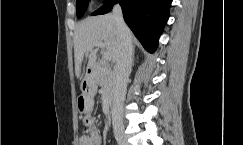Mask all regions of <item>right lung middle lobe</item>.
<instances>
[{
  "label": "right lung middle lobe",
  "mask_w": 243,
  "mask_h": 145,
  "mask_svg": "<svg viewBox=\"0 0 243 145\" xmlns=\"http://www.w3.org/2000/svg\"><path fill=\"white\" fill-rule=\"evenodd\" d=\"M88 4L89 0H76V13L78 18H81L84 15Z\"/></svg>",
  "instance_id": "obj_1"
}]
</instances>
